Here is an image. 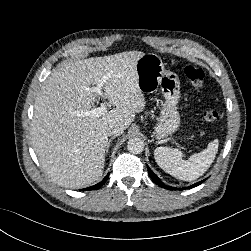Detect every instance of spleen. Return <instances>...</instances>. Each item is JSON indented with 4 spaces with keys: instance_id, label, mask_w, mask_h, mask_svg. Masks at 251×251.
Wrapping results in <instances>:
<instances>
[{
    "instance_id": "3e777b00",
    "label": "spleen",
    "mask_w": 251,
    "mask_h": 251,
    "mask_svg": "<svg viewBox=\"0 0 251 251\" xmlns=\"http://www.w3.org/2000/svg\"><path fill=\"white\" fill-rule=\"evenodd\" d=\"M218 145L219 142L215 139L205 150L192 155L188 160L182 159V153L178 149L157 147L154 150V158L159 167L171 176L184 181H192L208 170L218 152Z\"/></svg>"
}]
</instances>
